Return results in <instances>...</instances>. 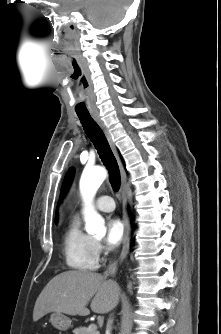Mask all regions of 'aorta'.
<instances>
[{
    "mask_svg": "<svg viewBox=\"0 0 221 334\" xmlns=\"http://www.w3.org/2000/svg\"><path fill=\"white\" fill-rule=\"evenodd\" d=\"M107 171L102 167L85 169L81 175L79 188L84 201V218L86 232L99 237L106 234L105 221L94 209L93 198L106 179Z\"/></svg>",
    "mask_w": 221,
    "mask_h": 334,
    "instance_id": "1",
    "label": "aorta"
}]
</instances>
